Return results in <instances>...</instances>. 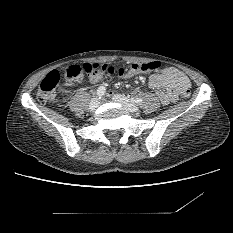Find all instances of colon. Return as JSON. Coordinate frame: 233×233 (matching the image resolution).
Segmentation results:
<instances>
[{
	"label": "colon",
	"mask_w": 233,
	"mask_h": 233,
	"mask_svg": "<svg viewBox=\"0 0 233 233\" xmlns=\"http://www.w3.org/2000/svg\"><path fill=\"white\" fill-rule=\"evenodd\" d=\"M161 69L160 62L152 61L147 63H134L128 70L121 69L122 75H128L130 72H157ZM87 74L90 77H96L101 75H113L115 68L111 65H94V64H82L72 65L67 68L66 75L71 78H80L83 74ZM61 74L55 70L50 72L40 83L37 91V99L39 102L45 104L50 103L55 99L57 88L59 86ZM182 97L187 99L190 97L189 88L182 90Z\"/></svg>",
	"instance_id": "colon-1"
}]
</instances>
